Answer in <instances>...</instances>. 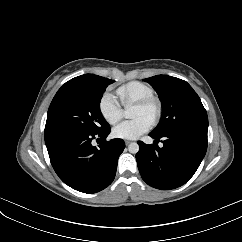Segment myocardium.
I'll return each instance as SVG.
<instances>
[{
    "label": "myocardium",
    "instance_id": "1",
    "mask_svg": "<svg viewBox=\"0 0 242 242\" xmlns=\"http://www.w3.org/2000/svg\"><path fill=\"white\" fill-rule=\"evenodd\" d=\"M135 106L151 112V123L156 124L161 116L162 105L158 98L151 96L134 103Z\"/></svg>",
    "mask_w": 242,
    "mask_h": 242
}]
</instances>
